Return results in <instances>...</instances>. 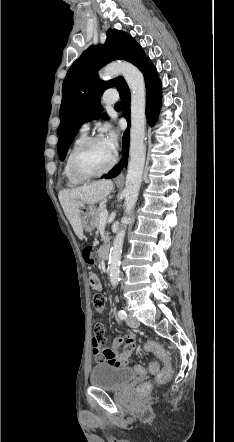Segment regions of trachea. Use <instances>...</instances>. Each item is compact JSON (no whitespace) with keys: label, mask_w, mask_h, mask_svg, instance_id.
<instances>
[{"label":"trachea","mask_w":234,"mask_h":442,"mask_svg":"<svg viewBox=\"0 0 234 442\" xmlns=\"http://www.w3.org/2000/svg\"><path fill=\"white\" fill-rule=\"evenodd\" d=\"M115 107H117V108H118V107H122V102H120V101L117 102V103L115 104Z\"/></svg>","instance_id":"3493384b"}]
</instances>
